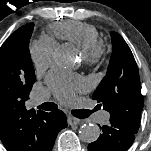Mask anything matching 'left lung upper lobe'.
<instances>
[{
    "mask_svg": "<svg viewBox=\"0 0 151 151\" xmlns=\"http://www.w3.org/2000/svg\"><path fill=\"white\" fill-rule=\"evenodd\" d=\"M112 55L106 76L98 85L92 99L110 113V120L130 132L139 129L143 96L134 56L120 34L111 32Z\"/></svg>",
    "mask_w": 151,
    "mask_h": 151,
    "instance_id": "1",
    "label": "left lung upper lobe"
}]
</instances>
